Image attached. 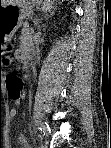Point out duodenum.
Returning <instances> with one entry per match:
<instances>
[{
  "label": "duodenum",
  "mask_w": 111,
  "mask_h": 148,
  "mask_svg": "<svg viewBox=\"0 0 111 148\" xmlns=\"http://www.w3.org/2000/svg\"><path fill=\"white\" fill-rule=\"evenodd\" d=\"M29 59H30V57H29L28 54L22 53L21 60H22L23 63H26L27 61H29Z\"/></svg>",
  "instance_id": "1"
}]
</instances>
